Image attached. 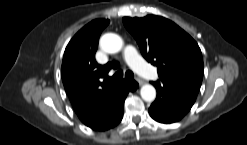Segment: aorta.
<instances>
[{
    "label": "aorta",
    "instance_id": "aorta-1",
    "mask_svg": "<svg viewBox=\"0 0 247 145\" xmlns=\"http://www.w3.org/2000/svg\"><path fill=\"white\" fill-rule=\"evenodd\" d=\"M100 46L107 53H117L123 47V40L117 34L107 33L101 37ZM140 95L144 101L152 102L156 98V90L152 85L145 84L141 87Z\"/></svg>",
    "mask_w": 247,
    "mask_h": 145
}]
</instances>
